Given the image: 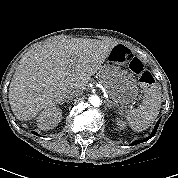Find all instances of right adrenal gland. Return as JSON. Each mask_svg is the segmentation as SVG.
I'll return each mask as SVG.
<instances>
[{
	"label": "right adrenal gland",
	"mask_w": 178,
	"mask_h": 178,
	"mask_svg": "<svg viewBox=\"0 0 178 178\" xmlns=\"http://www.w3.org/2000/svg\"><path fill=\"white\" fill-rule=\"evenodd\" d=\"M71 100H72V98L68 97V98L64 99L60 104L63 105L64 103H70Z\"/></svg>",
	"instance_id": "right-adrenal-gland-1"
}]
</instances>
